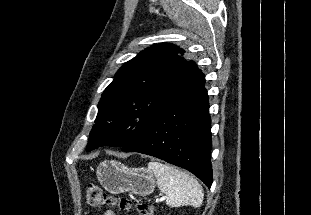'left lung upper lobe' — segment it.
Instances as JSON below:
<instances>
[{
    "label": "left lung upper lobe",
    "instance_id": "5c2ea615",
    "mask_svg": "<svg viewBox=\"0 0 311 215\" xmlns=\"http://www.w3.org/2000/svg\"><path fill=\"white\" fill-rule=\"evenodd\" d=\"M197 71L196 62L176 45L161 43L141 51L117 71L104 90L87 151L129 144Z\"/></svg>",
    "mask_w": 311,
    "mask_h": 215
}]
</instances>
